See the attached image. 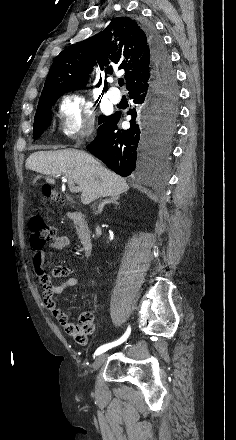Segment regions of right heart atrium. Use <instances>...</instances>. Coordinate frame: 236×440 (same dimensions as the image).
Segmentation results:
<instances>
[{"instance_id":"1","label":"right heart atrium","mask_w":236,"mask_h":440,"mask_svg":"<svg viewBox=\"0 0 236 440\" xmlns=\"http://www.w3.org/2000/svg\"><path fill=\"white\" fill-rule=\"evenodd\" d=\"M57 117L60 129L67 138L82 140L93 132V108L80 93H66L61 97Z\"/></svg>"}]
</instances>
